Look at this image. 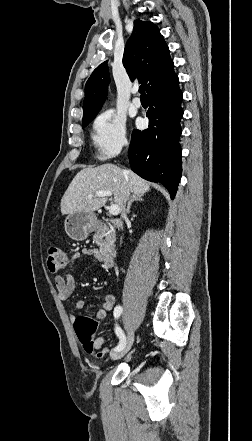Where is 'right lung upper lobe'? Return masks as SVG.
<instances>
[{
    "mask_svg": "<svg viewBox=\"0 0 252 441\" xmlns=\"http://www.w3.org/2000/svg\"><path fill=\"white\" fill-rule=\"evenodd\" d=\"M172 60L169 48L156 25L151 21L135 20L131 37L123 55V65L131 80L136 77L146 91L160 80ZM110 81L107 61L101 63L85 85L83 123L95 117L106 97Z\"/></svg>",
    "mask_w": 252,
    "mask_h": 441,
    "instance_id": "cb5924a9",
    "label": "right lung upper lobe"
}]
</instances>
